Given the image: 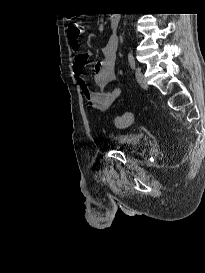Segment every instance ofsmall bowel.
I'll use <instances>...</instances> for the list:
<instances>
[{"mask_svg": "<svg viewBox=\"0 0 205 273\" xmlns=\"http://www.w3.org/2000/svg\"><path fill=\"white\" fill-rule=\"evenodd\" d=\"M74 24L78 23H70V25ZM83 29L84 27H82V31ZM79 35H69L68 28L70 47L76 54L73 64L74 74L79 78V85L88 105L95 110H106L121 94V89L119 87L105 90L108 84L115 80L116 51L118 47L117 38L112 37L107 41L101 49L102 59L93 64V81L98 90L92 91L88 85V81L83 77V71L89 58V53L81 52ZM114 39H116V41Z\"/></svg>", "mask_w": 205, "mask_h": 273, "instance_id": "1", "label": "small bowel"}]
</instances>
